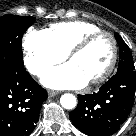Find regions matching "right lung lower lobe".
Here are the masks:
<instances>
[{"label": "right lung lower lobe", "instance_id": "right-lung-lower-lobe-1", "mask_svg": "<svg viewBox=\"0 0 136 136\" xmlns=\"http://www.w3.org/2000/svg\"><path fill=\"white\" fill-rule=\"evenodd\" d=\"M47 92L29 73L0 71V136H28Z\"/></svg>", "mask_w": 136, "mask_h": 136}]
</instances>
